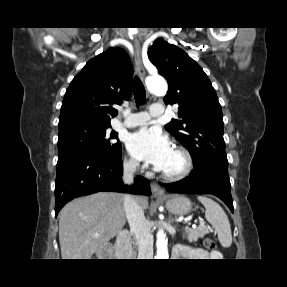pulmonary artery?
<instances>
[{
	"mask_svg": "<svg viewBox=\"0 0 287 287\" xmlns=\"http://www.w3.org/2000/svg\"><path fill=\"white\" fill-rule=\"evenodd\" d=\"M164 112V109L161 104H153L150 106L148 112H139L129 115L126 120L123 122L125 127H136L146 123L152 117L161 116Z\"/></svg>",
	"mask_w": 287,
	"mask_h": 287,
	"instance_id": "obj_1",
	"label": "pulmonary artery"
}]
</instances>
